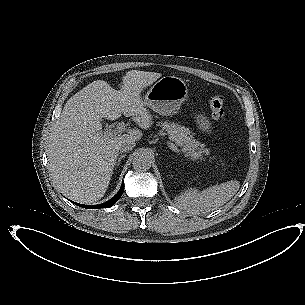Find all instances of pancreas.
<instances>
[{
	"mask_svg": "<svg viewBox=\"0 0 305 305\" xmlns=\"http://www.w3.org/2000/svg\"><path fill=\"white\" fill-rule=\"evenodd\" d=\"M163 130L183 153L190 155L193 159L204 160V156L209 154L208 149H205L199 141L194 139L189 128L166 122L163 124Z\"/></svg>",
	"mask_w": 305,
	"mask_h": 305,
	"instance_id": "pancreas-1",
	"label": "pancreas"
}]
</instances>
